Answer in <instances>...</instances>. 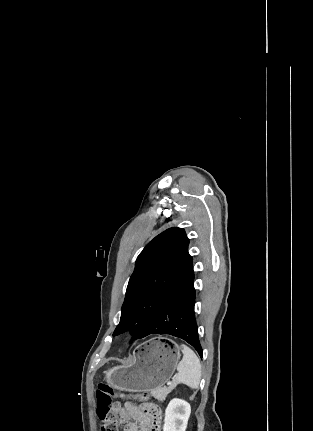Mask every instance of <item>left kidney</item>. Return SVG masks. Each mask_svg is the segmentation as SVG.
I'll return each mask as SVG.
<instances>
[{
  "label": "left kidney",
  "mask_w": 313,
  "mask_h": 431,
  "mask_svg": "<svg viewBox=\"0 0 313 431\" xmlns=\"http://www.w3.org/2000/svg\"><path fill=\"white\" fill-rule=\"evenodd\" d=\"M190 404L181 399H172L166 410L163 431H185L190 417Z\"/></svg>",
  "instance_id": "obj_1"
}]
</instances>
